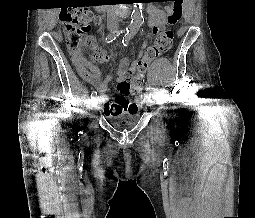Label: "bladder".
<instances>
[{
  "mask_svg": "<svg viewBox=\"0 0 255 218\" xmlns=\"http://www.w3.org/2000/svg\"><path fill=\"white\" fill-rule=\"evenodd\" d=\"M138 117L139 115L135 112L112 113L107 115L108 121L121 131L132 128L136 124Z\"/></svg>",
  "mask_w": 255,
  "mask_h": 218,
  "instance_id": "31cf9c89",
  "label": "bladder"
}]
</instances>
